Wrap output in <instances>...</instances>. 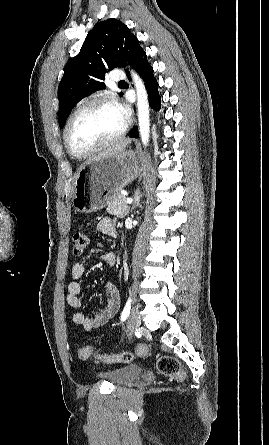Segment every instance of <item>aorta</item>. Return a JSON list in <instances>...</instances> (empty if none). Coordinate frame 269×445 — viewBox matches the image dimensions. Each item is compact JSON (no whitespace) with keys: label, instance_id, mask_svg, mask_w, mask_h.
<instances>
[{"label":"aorta","instance_id":"aorta-1","mask_svg":"<svg viewBox=\"0 0 269 445\" xmlns=\"http://www.w3.org/2000/svg\"><path fill=\"white\" fill-rule=\"evenodd\" d=\"M131 75L136 89L140 137L143 145L147 146L150 137V115H149L148 95L145 85L140 76L134 71H131Z\"/></svg>","mask_w":269,"mask_h":445}]
</instances>
